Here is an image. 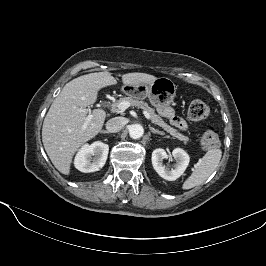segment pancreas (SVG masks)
I'll return each instance as SVG.
<instances>
[{
    "label": "pancreas",
    "mask_w": 266,
    "mask_h": 266,
    "mask_svg": "<svg viewBox=\"0 0 266 266\" xmlns=\"http://www.w3.org/2000/svg\"><path fill=\"white\" fill-rule=\"evenodd\" d=\"M122 101H127L130 103V106H134L137 108H141L144 111H147L149 115L151 116V121L162 127L165 131H167L169 134H171L173 137L177 138L178 140L182 141L184 144H187L189 142V138L181 133H179L176 129L170 127L168 124H166L163 119L155 113V110L148 106L146 102L135 100L131 97H124L120 98L119 100L115 101L112 104V111L114 112H120L118 109V104Z\"/></svg>",
    "instance_id": "obj_1"
}]
</instances>
